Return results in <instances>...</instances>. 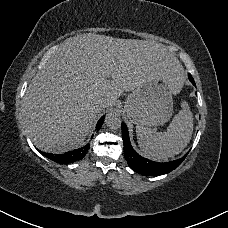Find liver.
I'll return each mask as SVG.
<instances>
[{"label": "liver", "mask_w": 228, "mask_h": 228, "mask_svg": "<svg viewBox=\"0 0 228 228\" xmlns=\"http://www.w3.org/2000/svg\"><path fill=\"white\" fill-rule=\"evenodd\" d=\"M157 78L166 79L173 95L185 81L179 60L163 45L96 34L74 36L42 65L26 90L27 134L43 152L76 148L89 135L97 114L114 106L123 91H138Z\"/></svg>", "instance_id": "obj_1"}]
</instances>
